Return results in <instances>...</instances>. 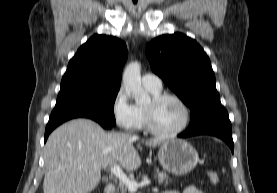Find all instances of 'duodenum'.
I'll use <instances>...</instances> for the list:
<instances>
[{
  "instance_id": "1",
  "label": "duodenum",
  "mask_w": 277,
  "mask_h": 193,
  "mask_svg": "<svg viewBox=\"0 0 277 193\" xmlns=\"http://www.w3.org/2000/svg\"><path fill=\"white\" fill-rule=\"evenodd\" d=\"M116 187L114 184L109 183L104 188V193H115Z\"/></svg>"
}]
</instances>
